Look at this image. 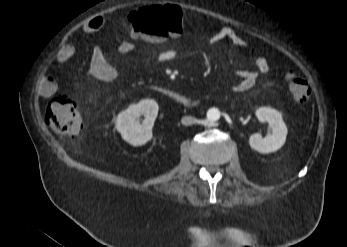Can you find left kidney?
<instances>
[{
	"mask_svg": "<svg viewBox=\"0 0 347 247\" xmlns=\"http://www.w3.org/2000/svg\"><path fill=\"white\" fill-rule=\"evenodd\" d=\"M256 117L260 122H267L272 128V134L262 138L255 133L250 136V147L260 153H271L280 149L285 143L288 129L283 121L282 114L273 108L260 107L256 110Z\"/></svg>",
	"mask_w": 347,
	"mask_h": 247,
	"instance_id": "5707ae66",
	"label": "left kidney"
}]
</instances>
